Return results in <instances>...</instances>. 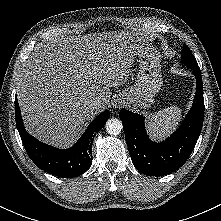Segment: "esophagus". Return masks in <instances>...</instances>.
<instances>
[{
	"label": "esophagus",
	"mask_w": 221,
	"mask_h": 221,
	"mask_svg": "<svg viewBox=\"0 0 221 221\" xmlns=\"http://www.w3.org/2000/svg\"><path fill=\"white\" fill-rule=\"evenodd\" d=\"M113 104H114L115 108H121L124 105V101L117 100Z\"/></svg>",
	"instance_id": "esophagus-1"
}]
</instances>
